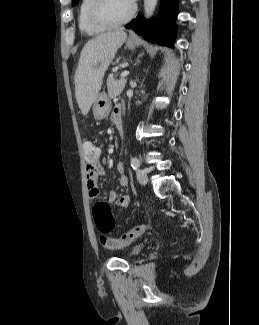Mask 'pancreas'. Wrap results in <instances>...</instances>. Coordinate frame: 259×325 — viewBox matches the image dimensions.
<instances>
[{"label":"pancreas","mask_w":259,"mask_h":325,"mask_svg":"<svg viewBox=\"0 0 259 325\" xmlns=\"http://www.w3.org/2000/svg\"><path fill=\"white\" fill-rule=\"evenodd\" d=\"M126 84V79L121 78L117 80L114 78V75L111 74L107 78V88H108V95L110 98H115L119 96Z\"/></svg>","instance_id":"obj_1"}]
</instances>
